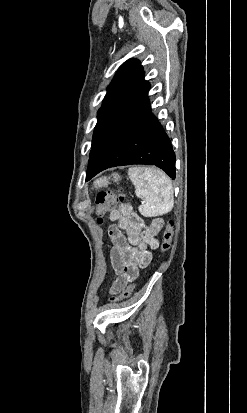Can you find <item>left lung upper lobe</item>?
Listing matches in <instances>:
<instances>
[{
  "instance_id": "5c2ea615",
  "label": "left lung upper lobe",
  "mask_w": 247,
  "mask_h": 413,
  "mask_svg": "<svg viewBox=\"0 0 247 413\" xmlns=\"http://www.w3.org/2000/svg\"><path fill=\"white\" fill-rule=\"evenodd\" d=\"M150 84L144 80L143 67L136 59L121 65L108 86L103 106L98 111V121L93 134L92 146L147 92Z\"/></svg>"
}]
</instances>
